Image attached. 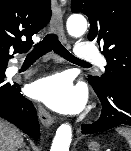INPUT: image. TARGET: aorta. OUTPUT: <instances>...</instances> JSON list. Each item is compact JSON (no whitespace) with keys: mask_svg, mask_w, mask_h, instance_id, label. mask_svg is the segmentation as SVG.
<instances>
[{"mask_svg":"<svg viewBox=\"0 0 131 151\" xmlns=\"http://www.w3.org/2000/svg\"><path fill=\"white\" fill-rule=\"evenodd\" d=\"M67 31L73 37L82 36L87 29L86 19L79 14L71 15L67 20ZM72 139V128L65 123L58 127L50 151H69Z\"/></svg>","mask_w":131,"mask_h":151,"instance_id":"obj_1","label":"aorta"}]
</instances>
